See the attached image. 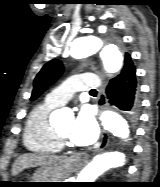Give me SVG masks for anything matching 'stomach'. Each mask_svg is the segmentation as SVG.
Listing matches in <instances>:
<instances>
[{"label":"stomach","mask_w":160,"mask_h":187,"mask_svg":"<svg viewBox=\"0 0 160 187\" xmlns=\"http://www.w3.org/2000/svg\"><path fill=\"white\" fill-rule=\"evenodd\" d=\"M76 167L75 164L69 159L62 160L58 163H55L51 166H44L39 168L33 174L31 181L36 182L30 183V187H52L58 186L56 184L60 183H41V182H63L66 176H68Z\"/></svg>","instance_id":"obj_1"}]
</instances>
